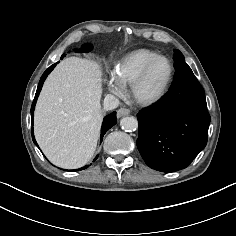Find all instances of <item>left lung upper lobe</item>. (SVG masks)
I'll use <instances>...</instances> for the list:
<instances>
[{"label":"left lung upper lobe","mask_w":236,"mask_h":236,"mask_svg":"<svg viewBox=\"0 0 236 236\" xmlns=\"http://www.w3.org/2000/svg\"><path fill=\"white\" fill-rule=\"evenodd\" d=\"M173 59H174V67H175V69L188 66L187 63L185 62L184 56L177 49L174 50Z\"/></svg>","instance_id":"left-lung-upper-lobe-1"}]
</instances>
